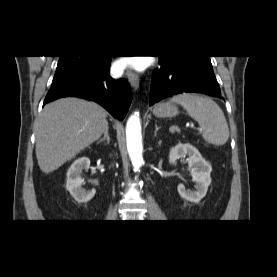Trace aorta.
<instances>
[{"label": "aorta", "mask_w": 277, "mask_h": 277, "mask_svg": "<svg viewBox=\"0 0 277 277\" xmlns=\"http://www.w3.org/2000/svg\"><path fill=\"white\" fill-rule=\"evenodd\" d=\"M126 143L134 171H138L143 164L141 123L138 112L131 115L127 121Z\"/></svg>", "instance_id": "aorta-1"}]
</instances>
